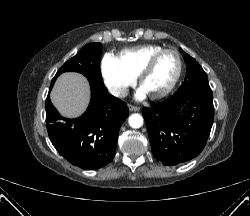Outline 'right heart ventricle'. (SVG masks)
<instances>
[{
	"instance_id": "1",
	"label": "right heart ventricle",
	"mask_w": 250,
	"mask_h": 216,
	"mask_svg": "<svg viewBox=\"0 0 250 216\" xmlns=\"http://www.w3.org/2000/svg\"><path fill=\"white\" fill-rule=\"evenodd\" d=\"M163 47L160 45H142L130 49L122 50L117 59L122 67L134 77H137L149 60V58L156 52L162 50Z\"/></svg>"
}]
</instances>
